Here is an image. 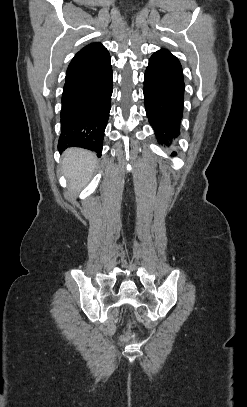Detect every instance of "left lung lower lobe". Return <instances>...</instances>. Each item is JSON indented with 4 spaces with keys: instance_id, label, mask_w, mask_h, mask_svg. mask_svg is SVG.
Instances as JSON below:
<instances>
[{
    "instance_id": "0a47b994",
    "label": "left lung lower lobe",
    "mask_w": 247,
    "mask_h": 407,
    "mask_svg": "<svg viewBox=\"0 0 247 407\" xmlns=\"http://www.w3.org/2000/svg\"><path fill=\"white\" fill-rule=\"evenodd\" d=\"M183 99L184 79L179 60L166 49L155 52L149 59L144 76V101L147 117L159 143L169 146L178 136Z\"/></svg>"
}]
</instances>
